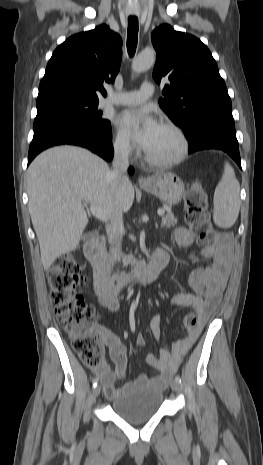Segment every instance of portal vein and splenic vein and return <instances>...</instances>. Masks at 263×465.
<instances>
[{"label":"portal vein and splenic vein","mask_w":263,"mask_h":465,"mask_svg":"<svg viewBox=\"0 0 263 465\" xmlns=\"http://www.w3.org/2000/svg\"><path fill=\"white\" fill-rule=\"evenodd\" d=\"M90 212L96 217L98 218L99 220L101 221H108L109 220V217L107 216V214L103 211V209L99 206H95V205H91L90 206ZM158 215L159 216H162L164 215V210L162 209H159L158 210Z\"/></svg>","instance_id":"portal-vein-and-splenic-vein-1"}]
</instances>
